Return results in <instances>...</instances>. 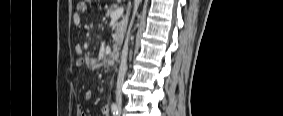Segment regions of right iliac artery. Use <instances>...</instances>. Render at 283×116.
<instances>
[{"label":"right iliac artery","mask_w":283,"mask_h":116,"mask_svg":"<svg viewBox=\"0 0 283 116\" xmlns=\"http://www.w3.org/2000/svg\"><path fill=\"white\" fill-rule=\"evenodd\" d=\"M111 111H112L113 115H118V107H117L116 104H112Z\"/></svg>","instance_id":"1"}]
</instances>
